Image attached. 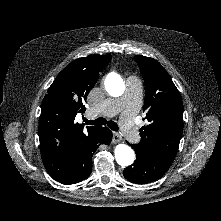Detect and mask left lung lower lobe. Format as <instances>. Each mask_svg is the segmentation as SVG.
<instances>
[{
	"mask_svg": "<svg viewBox=\"0 0 221 221\" xmlns=\"http://www.w3.org/2000/svg\"><path fill=\"white\" fill-rule=\"evenodd\" d=\"M136 152V160L128 166L124 177L136 184H146L163 176L171 166L174 155H146L135 144H130Z\"/></svg>",
	"mask_w": 221,
	"mask_h": 221,
	"instance_id": "1",
	"label": "left lung lower lobe"
}]
</instances>
